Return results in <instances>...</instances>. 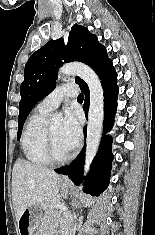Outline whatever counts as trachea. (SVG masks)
Masks as SVG:
<instances>
[{
    "mask_svg": "<svg viewBox=\"0 0 155 235\" xmlns=\"http://www.w3.org/2000/svg\"><path fill=\"white\" fill-rule=\"evenodd\" d=\"M83 99H84L83 95H82V94H79V95H78V100H79V101H83Z\"/></svg>",
    "mask_w": 155,
    "mask_h": 235,
    "instance_id": "obj_1",
    "label": "trachea"
}]
</instances>
